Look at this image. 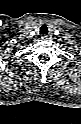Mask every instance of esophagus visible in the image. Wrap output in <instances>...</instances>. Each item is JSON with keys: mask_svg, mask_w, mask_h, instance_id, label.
I'll return each instance as SVG.
<instances>
[{"mask_svg": "<svg viewBox=\"0 0 81 124\" xmlns=\"http://www.w3.org/2000/svg\"><path fill=\"white\" fill-rule=\"evenodd\" d=\"M51 37L49 35H42L41 39L42 40H49Z\"/></svg>", "mask_w": 81, "mask_h": 124, "instance_id": "34e87169", "label": "esophagus"}]
</instances>
